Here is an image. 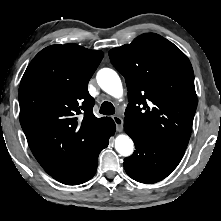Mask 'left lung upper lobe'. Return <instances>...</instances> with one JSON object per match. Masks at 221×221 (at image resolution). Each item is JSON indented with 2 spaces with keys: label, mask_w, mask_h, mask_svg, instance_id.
Instances as JSON below:
<instances>
[{
  "label": "left lung upper lobe",
  "mask_w": 221,
  "mask_h": 221,
  "mask_svg": "<svg viewBox=\"0 0 221 221\" xmlns=\"http://www.w3.org/2000/svg\"><path fill=\"white\" fill-rule=\"evenodd\" d=\"M109 56L127 84L124 123L137 126L153 141L186 149L197 107L194 73L187 56L155 33L113 48Z\"/></svg>",
  "instance_id": "obj_1"
}]
</instances>
